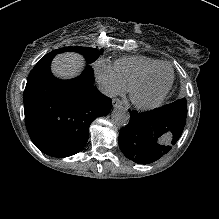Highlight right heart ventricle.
Here are the masks:
<instances>
[{"label": "right heart ventricle", "instance_id": "obj_1", "mask_svg": "<svg viewBox=\"0 0 219 219\" xmlns=\"http://www.w3.org/2000/svg\"><path fill=\"white\" fill-rule=\"evenodd\" d=\"M158 63V60L146 56H126L117 59L113 65L116 77L130 85L142 72Z\"/></svg>", "mask_w": 219, "mask_h": 219}]
</instances>
